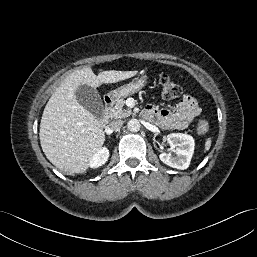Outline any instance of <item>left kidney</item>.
Segmentation results:
<instances>
[{"mask_svg": "<svg viewBox=\"0 0 257 257\" xmlns=\"http://www.w3.org/2000/svg\"><path fill=\"white\" fill-rule=\"evenodd\" d=\"M167 143L172 147L178 146L174 149L176 156L172 157L171 154L161 153L160 160L170 167L180 170L187 169L194 153L193 137L183 133H172L167 136Z\"/></svg>", "mask_w": 257, "mask_h": 257, "instance_id": "1", "label": "left kidney"}]
</instances>
